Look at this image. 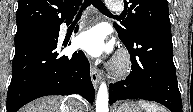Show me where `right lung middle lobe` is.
Here are the masks:
<instances>
[{"mask_svg":"<svg viewBox=\"0 0 193 112\" xmlns=\"http://www.w3.org/2000/svg\"><path fill=\"white\" fill-rule=\"evenodd\" d=\"M50 28L52 27H40V28H32V29L17 31L15 35V45L25 40H28L32 37H35L49 30Z\"/></svg>","mask_w":193,"mask_h":112,"instance_id":"1","label":"right lung middle lobe"}]
</instances>
